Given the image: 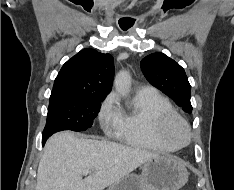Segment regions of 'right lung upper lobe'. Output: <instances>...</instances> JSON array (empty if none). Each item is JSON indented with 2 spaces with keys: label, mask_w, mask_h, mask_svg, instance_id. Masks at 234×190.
<instances>
[{
  "label": "right lung upper lobe",
  "mask_w": 234,
  "mask_h": 190,
  "mask_svg": "<svg viewBox=\"0 0 234 190\" xmlns=\"http://www.w3.org/2000/svg\"><path fill=\"white\" fill-rule=\"evenodd\" d=\"M113 77L110 54L83 49L63 65L52 91L104 99L112 88Z\"/></svg>",
  "instance_id": "cb5924a9"
}]
</instances>
